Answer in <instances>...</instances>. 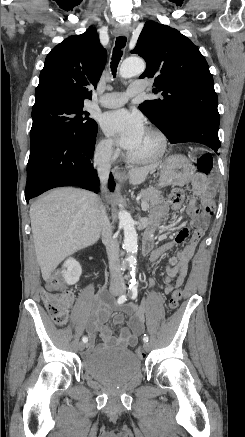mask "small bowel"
Here are the masks:
<instances>
[{"mask_svg":"<svg viewBox=\"0 0 245 437\" xmlns=\"http://www.w3.org/2000/svg\"><path fill=\"white\" fill-rule=\"evenodd\" d=\"M208 188L206 178L202 176H196L194 178L192 182V197L186 207L192 220V232H190L188 227H182L173 241L158 247L150 257V261L154 263L163 253L171 250L176 244L188 240V244L181 251L169 258L166 267L165 294L171 293L175 287H179L184 283L196 246L208 227L209 216L202 213L197 206V199L203 197L207 193ZM169 209L179 211L181 210V205L172 202H163L153 218L151 230H154L160 220L167 216ZM152 284L153 282L150 281L149 285L152 286ZM145 310V302L138 305L128 304L124 307L121 312H118L114 316V324L118 327L117 335H114L112 329L105 325L110 316L109 310L102 306L99 300H96L93 312L87 324V332L92 339L98 335L103 340L104 346L130 347L136 343L138 336L144 331ZM125 315L129 317V327L122 326ZM93 349L94 346L91 343L88 346V352H91Z\"/></svg>","mask_w":245,"mask_h":437,"instance_id":"small-bowel-1","label":"small bowel"}]
</instances>
